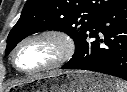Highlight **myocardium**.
Listing matches in <instances>:
<instances>
[{
	"instance_id": "1",
	"label": "myocardium",
	"mask_w": 127,
	"mask_h": 92,
	"mask_svg": "<svg viewBox=\"0 0 127 92\" xmlns=\"http://www.w3.org/2000/svg\"><path fill=\"white\" fill-rule=\"evenodd\" d=\"M41 38L52 39L58 43L60 47V53L58 54L57 58L50 64L34 69V70L21 69L16 62V58L20 48L29 41H32L35 39H41ZM75 49H76L75 41L73 37L66 31L61 29H53V28L44 29V30L31 33L25 36L23 39H21L18 42V44L16 45L12 53V64L18 71L24 74H36V73H40L44 71H49V70L59 68L65 63H67L73 57L75 53Z\"/></svg>"
}]
</instances>
